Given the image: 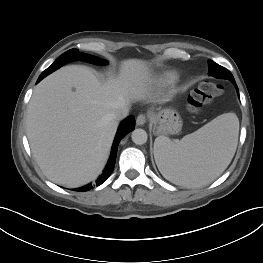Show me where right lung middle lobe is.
Listing matches in <instances>:
<instances>
[{
    "label": "right lung middle lobe",
    "mask_w": 263,
    "mask_h": 263,
    "mask_svg": "<svg viewBox=\"0 0 263 263\" xmlns=\"http://www.w3.org/2000/svg\"><path fill=\"white\" fill-rule=\"evenodd\" d=\"M81 59L83 61H86L88 63L97 64V65H103L107 62L105 60H102L100 58H97L92 55L80 53L78 49H70L64 54H62L54 63H61L65 64L70 60H78Z\"/></svg>",
    "instance_id": "right-lung-middle-lobe-1"
}]
</instances>
